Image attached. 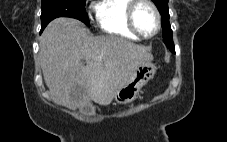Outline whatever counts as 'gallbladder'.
<instances>
[{"mask_svg": "<svg viewBox=\"0 0 227 142\" xmlns=\"http://www.w3.org/2000/svg\"><path fill=\"white\" fill-rule=\"evenodd\" d=\"M83 111H84V113L89 114V115L93 114L94 107L91 106V105H87V106L84 107Z\"/></svg>", "mask_w": 227, "mask_h": 142, "instance_id": "gallbladder-1", "label": "gallbladder"}]
</instances>
